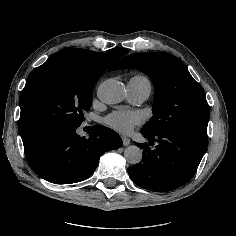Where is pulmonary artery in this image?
<instances>
[{"label": "pulmonary artery", "instance_id": "pulmonary-artery-1", "mask_svg": "<svg viewBox=\"0 0 236 236\" xmlns=\"http://www.w3.org/2000/svg\"><path fill=\"white\" fill-rule=\"evenodd\" d=\"M128 98L135 104L144 102L150 95V90L147 88L139 87L133 84L131 81L127 84Z\"/></svg>", "mask_w": 236, "mask_h": 236}]
</instances>
